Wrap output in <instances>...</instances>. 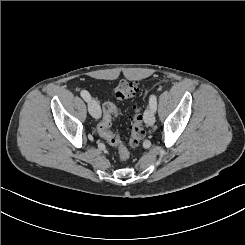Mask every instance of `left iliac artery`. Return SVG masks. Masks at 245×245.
I'll list each match as a JSON object with an SVG mask.
<instances>
[{
    "label": "left iliac artery",
    "instance_id": "obj_1",
    "mask_svg": "<svg viewBox=\"0 0 245 245\" xmlns=\"http://www.w3.org/2000/svg\"><path fill=\"white\" fill-rule=\"evenodd\" d=\"M149 106L153 111H156L157 107V98L155 94H152L149 99Z\"/></svg>",
    "mask_w": 245,
    "mask_h": 245
}]
</instances>
